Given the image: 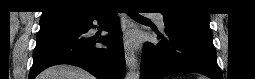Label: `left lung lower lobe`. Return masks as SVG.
I'll return each mask as SVG.
<instances>
[{
	"mask_svg": "<svg viewBox=\"0 0 255 79\" xmlns=\"http://www.w3.org/2000/svg\"><path fill=\"white\" fill-rule=\"evenodd\" d=\"M165 33V36L159 35L160 44L145 45L140 79H163L181 72L222 79L210 27L177 26L165 28Z\"/></svg>",
	"mask_w": 255,
	"mask_h": 79,
	"instance_id": "1",
	"label": "left lung lower lobe"
}]
</instances>
